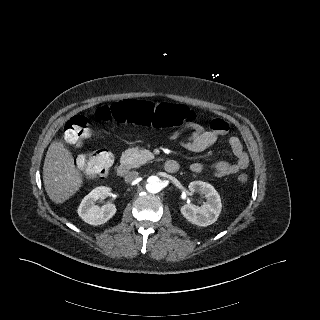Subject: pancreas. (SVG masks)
Listing matches in <instances>:
<instances>
[{
    "label": "pancreas",
    "instance_id": "obj_1",
    "mask_svg": "<svg viewBox=\"0 0 320 320\" xmlns=\"http://www.w3.org/2000/svg\"><path fill=\"white\" fill-rule=\"evenodd\" d=\"M121 161L124 162L129 168H137L146 163L147 158L138 148H128L122 153Z\"/></svg>",
    "mask_w": 320,
    "mask_h": 320
}]
</instances>
